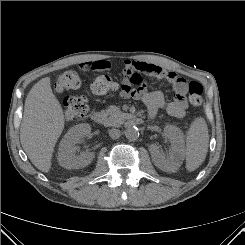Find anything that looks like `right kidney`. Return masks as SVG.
<instances>
[{
    "label": "right kidney",
    "instance_id": "1",
    "mask_svg": "<svg viewBox=\"0 0 245 245\" xmlns=\"http://www.w3.org/2000/svg\"><path fill=\"white\" fill-rule=\"evenodd\" d=\"M91 132V127L87 123L76 125L69 129L60 142L58 161L60 166L66 169H78L88 166L93 160V152H83L77 154L76 144L87 137Z\"/></svg>",
    "mask_w": 245,
    "mask_h": 245
}]
</instances>
